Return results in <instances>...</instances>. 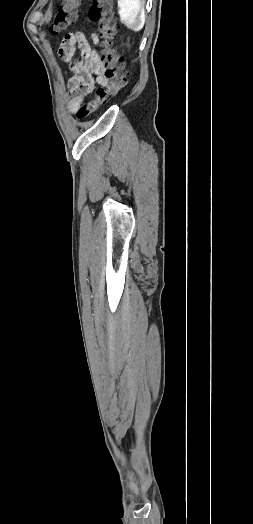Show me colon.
Masks as SVG:
<instances>
[{
    "label": "colon",
    "instance_id": "5ec220e1",
    "mask_svg": "<svg viewBox=\"0 0 253 524\" xmlns=\"http://www.w3.org/2000/svg\"><path fill=\"white\" fill-rule=\"evenodd\" d=\"M80 0H63L49 33L53 36L59 35L69 29L76 18ZM113 0H93L89 10V18L98 23L101 41V55L104 62V76L108 83L106 87L98 88L93 100L83 103L77 110L76 116L79 120L90 117L97 104L107 101L126 87L127 73L124 69V60L117 54L112 39L115 34L113 19Z\"/></svg>",
    "mask_w": 253,
    "mask_h": 524
}]
</instances>
